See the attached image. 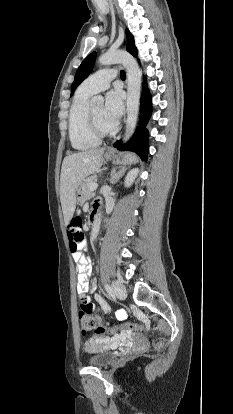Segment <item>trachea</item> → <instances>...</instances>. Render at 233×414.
Segmentation results:
<instances>
[{
    "label": "trachea",
    "mask_w": 233,
    "mask_h": 414,
    "mask_svg": "<svg viewBox=\"0 0 233 414\" xmlns=\"http://www.w3.org/2000/svg\"><path fill=\"white\" fill-rule=\"evenodd\" d=\"M120 77L122 80H125L126 78V73L123 70L120 72Z\"/></svg>",
    "instance_id": "3493384b"
}]
</instances>
